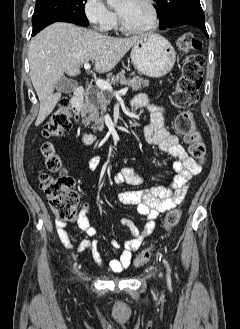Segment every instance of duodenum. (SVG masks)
Masks as SVG:
<instances>
[{"label": "duodenum", "mask_w": 240, "mask_h": 329, "mask_svg": "<svg viewBox=\"0 0 240 329\" xmlns=\"http://www.w3.org/2000/svg\"><path fill=\"white\" fill-rule=\"evenodd\" d=\"M83 98H84V87L79 86L75 89L71 98V110L73 114V119L76 123H79L80 121ZM94 140L95 137H93L92 135L87 134L85 136V141L87 145L92 144Z\"/></svg>", "instance_id": "410a0bca"}]
</instances>
